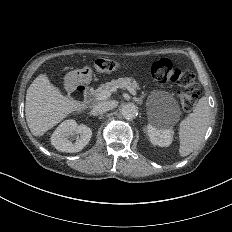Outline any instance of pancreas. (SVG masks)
<instances>
[{
    "mask_svg": "<svg viewBox=\"0 0 232 232\" xmlns=\"http://www.w3.org/2000/svg\"><path fill=\"white\" fill-rule=\"evenodd\" d=\"M121 87H131L136 91L142 89V85L139 84L133 77H125L114 79L108 83L101 84L99 88L92 93L94 97L97 98V96L103 91H108L109 93H111Z\"/></svg>",
    "mask_w": 232,
    "mask_h": 232,
    "instance_id": "1",
    "label": "pancreas"
}]
</instances>
